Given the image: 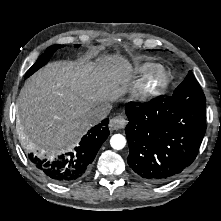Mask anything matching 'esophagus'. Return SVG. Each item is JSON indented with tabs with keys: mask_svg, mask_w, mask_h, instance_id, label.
Instances as JSON below:
<instances>
[{
	"mask_svg": "<svg viewBox=\"0 0 221 221\" xmlns=\"http://www.w3.org/2000/svg\"><path fill=\"white\" fill-rule=\"evenodd\" d=\"M126 124H127V120L123 116L117 115L110 120L109 128L111 130H119V129L124 128Z\"/></svg>",
	"mask_w": 221,
	"mask_h": 221,
	"instance_id": "obj_1",
	"label": "esophagus"
}]
</instances>
